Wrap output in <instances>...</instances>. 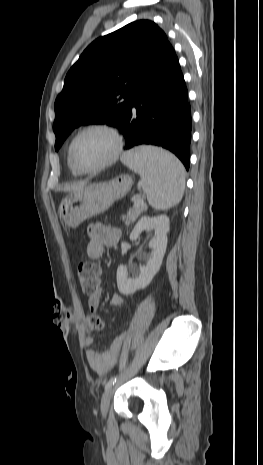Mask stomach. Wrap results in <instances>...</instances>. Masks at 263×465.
Returning <instances> with one entry per match:
<instances>
[{
  "label": "stomach",
  "instance_id": "stomach-1",
  "mask_svg": "<svg viewBox=\"0 0 263 465\" xmlns=\"http://www.w3.org/2000/svg\"><path fill=\"white\" fill-rule=\"evenodd\" d=\"M131 186L129 175H119L110 181L71 192L60 203V216L67 226L75 228L86 219L105 212L115 201L123 198Z\"/></svg>",
  "mask_w": 263,
  "mask_h": 465
}]
</instances>
